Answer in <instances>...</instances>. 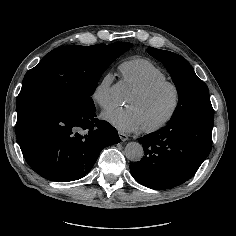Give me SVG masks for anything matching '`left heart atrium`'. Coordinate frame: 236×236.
Segmentation results:
<instances>
[{
	"mask_svg": "<svg viewBox=\"0 0 236 236\" xmlns=\"http://www.w3.org/2000/svg\"><path fill=\"white\" fill-rule=\"evenodd\" d=\"M103 118L122 132H131L143 127L140 115L134 107H114L104 112Z\"/></svg>",
	"mask_w": 236,
	"mask_h": 236,
	"instance_id": "obj_1",
	"label": "left heart atrium"
}]
</instances>
